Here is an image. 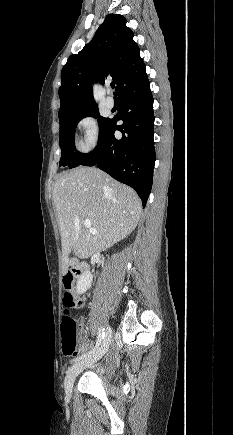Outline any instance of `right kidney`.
Returning a JSON list of instances; mask_svg holds the SVG:
<instances>
[{
    "label": "right kidney",
    "mask_w": 233,
    "mask_h": 435,
    "mask_svg": "<svg viewBox=\"0 0 233 435\" xmlns=\"http://www.w3.org/2000/svg\"><path fill=\"white\" fill-rule=\"evenodd\" d=\"M92 275L89 271L84 272L77 281L76 291L78 294H83L91 287Z\"/></svg>",
    "instance_id": "right-kidney-1"
}]
</instances>
